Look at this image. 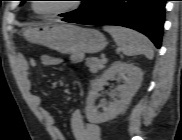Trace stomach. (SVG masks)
I'll return each mask as SVG.
<instances>
[{
	"label": "stomach",
	"instance_id": "0dacf381",
	"mask_svg": "<svg viewBox=\"0 0 182 140\" xmlns=\"http://www.w3.org/2000/svg\"><path fill=\"white\" fill-rule=\"evenodd\" d=\"M31 42L44 45L62 54L97 53L106 46V38L95 29L72 24L49 23L25 30Z\"/></svg>",
	"mask_w": 182,
	"mask_h": 140
}]
</instances>
